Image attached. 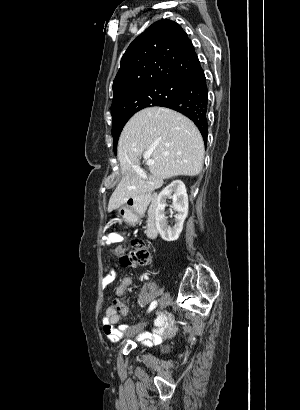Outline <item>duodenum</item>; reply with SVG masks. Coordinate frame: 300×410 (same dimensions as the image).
Instances as JSON below:
<instances>
[{"label":"duodenum","instance_id":"1","mask_svg":"<svg viewBox=\"0 0 300 410\" xmlns=\"http://www.w3.org/2000/svg\"><path fill=\"white\" fill-rule=\"evenodd\" d=\"M157 200L155 196L145 198H134L127 216L129 223H136L144 215L146 217V236L149 239L157 237L158 230L156 226Z\"/></svg>","mask_w":300,"mask_h":410}]
</instances>
